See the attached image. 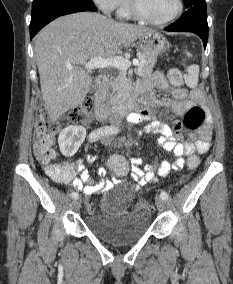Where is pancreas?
Wrapping results in <instances>:
<instances>
[{
	"mask_svg": "<svg viewBox=\"0 0 233 284\" xmlns=\"http://www.w3.org/2000/svg\"><path fill=\"white\" fill-rule=\"evenodd\" d=\"M156 63V59L142 54L140 57V65L137 72L140 75L149 74ZM131 88V81L127 78V71L120 70L111 87V91L107 93V99L111 106H121L127 103L129 98V89Z\"/></svg>",
	"mask_w": 233,
	"mask_h": 284,
	"instance_id": "obj_1",
	"label": "pancreas"
}]
</instances>
